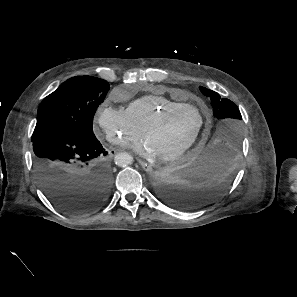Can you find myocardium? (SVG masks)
I'll use <instances>...</instances> for the list:
<instances>
[{
	"instance_id": "1",
	"label": "myocardium",
	"mask_w": 297,
	"mask_h": 297,
	"mask_svg": "<svg viewBox=\"0 0 297 297\" xmlns=\"http://www.w3.org/2000/svg\"><path fill=\"white\" fill-rule=\"evenodd\" d=\"M186 108H191L193 110H195L198 114H199V124L198 127L196 129V131L194 132V134L192 135V137L185 143L183 144L180 148H178L177 150L171 152V153H167L165 155L160 156V160L167 162V161H173L179 157H181L184 153H186L192 146H194L196 144V142L198 141L200 134L202 132L204 123H205V117L202 114V112L199 110L198 107L192 105V104H188V103H184V104H180L174 107H169L166 108L160 112H158L147 124L146 126L143 128L142 130V135L145 138L147 133L157 127L164 119H166L168 116H170L171 114H174L182 109H186Z\"/></svg>"
}]
</instances>
